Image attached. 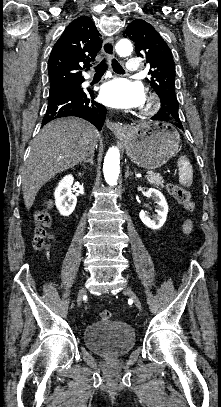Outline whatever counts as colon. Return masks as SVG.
<instances>
[{
    "label": "colon",
    "mask_w": 221,
    "mask_h": 407,
    "mask_svg": "<svg viewBox=\"0 0 221 407\" xmlns=\"http://www.w3.org/2000/svg\"><path fill=\"white\" fill-rule=\"evenodd\" d=\"M166 191L186 210L192 212L194 210V203L191 199L190 193L175 183H167ZM51 224V217L47 209L44 208L36 214V228L34 236V245L38 250H44L49 247V240L51 234L48 228ZM193 227L189 220H186L183 224V233L186 237L192 234ZM99 317L102 320H109L112 317V312L109 310H102L99 313Z\"/></svg>",
    "instance_id": "5ec220e1"
}]
</instances>
